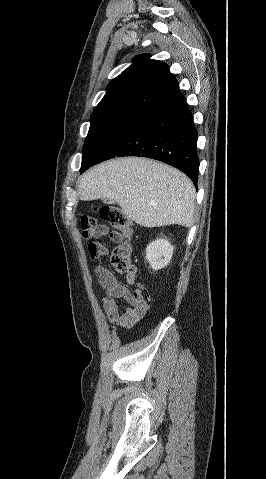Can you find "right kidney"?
<instances>
[{
  "mask_svg": "<svg viewBox=\"0 0 266 479\" xmlns=\"http://www.w3.org/2000/svg\"><path fill=\"white\" fill-rule=\"evenodd\" d=\"M174 247L166 239H157L146 248V259L153 270L166 267L173 255Z\"/></svg>",
  "mask_w": 266,
  "mask_h": 479,
  "instance_id": "obj_1",
  "label": "right kidney"
}]
</instances>
